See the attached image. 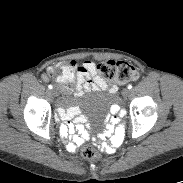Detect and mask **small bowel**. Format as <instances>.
Listing matches in <instances>:
<instances>
[{"label":"small bowel","mask_w":183,"mask_h":183,"mask_svg":"<svg viewBox=\"0 0 183 183\" xmlns=\"http://www.w3.org/2000/svg\"><path fill=\"white\" fill-rule=\"evenodd\" d=\"M61 70L62 85L61 92L63 95L69 94V84L75 82L76 93L87 91L95 88H107V82L97 74L95 64L91 61H85L78 64L74 60H68L59 64ZM110 92L117 91L116 85L109 86ZM110 118H108L104 125V131L101 134L103 143L101 147L105 154L113 155L119 149L120 143L123 139V128L119 125V118L125 119L128 116V110L125 107H112L109 110ZM57 120L64 123L59 126L58 133L61 136L70 137V142L67 144V149L70 152L77 151L78 147L82 146L87 138L86 120L80 116V109L76 106L58 108L56 112Z\"/></svg>","instance_id":"c3829d8e"}]
</instances>
